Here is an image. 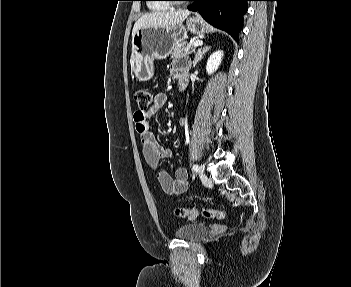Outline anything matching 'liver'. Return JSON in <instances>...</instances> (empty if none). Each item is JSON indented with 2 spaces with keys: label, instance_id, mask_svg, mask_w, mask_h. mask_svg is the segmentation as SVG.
Masks as SVG:
<instances>
[{
  "label": "liver",
  "instance_id": "6515ba94",
  "mask_svg": "<svg viewBox=\"0 0 351 287\" xmlns=\"http://www.w3.org/2000/svg\"><path fill=\"white\" fill-rule=\"evenodd\" d=\"M190 15L187 10L153 12L141 16L135 23L132 36L141 28L165 27L171 28L181 25Z\"/></svg>",
  "mask_w": 351,
  "mask_h": 287
}]
</instances>
